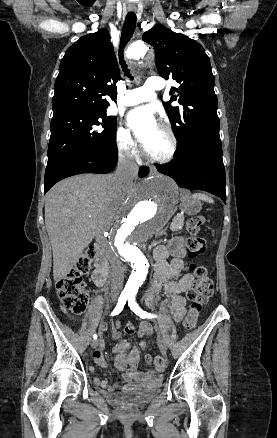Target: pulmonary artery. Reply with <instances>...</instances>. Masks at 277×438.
<instances>
[{"mask_svg":"<svg viewBox=\"0 0 277 438\" xmlns=\"http://www.w3.org/2000/svg\"><path fill=\"white\" fill-rule=\"evenodd\" d=\"M173 80H164L163 76H150L144 82L143 87H127L124 90L128 97L124 103L127 106L137 105L148 101L154 93V90H164L166 86H172Z\"/></svg>","mask_w":277,"mask_h":438,"instance_id":"1","label":"pulmonary artery"}]
</instances>
